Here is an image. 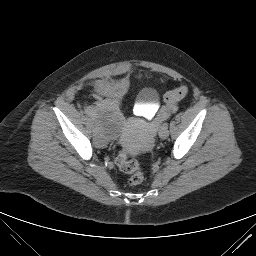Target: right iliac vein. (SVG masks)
<instances>
[{
    "label": "right iliac vein",
    "instance_id": "right-iliac-vein-1",
    "mask_svg": "<svg viewBox=\"0 0 256 256\" xmlns=\"http://www.w3.org/2000/svg\"><path fill=\"white\" fill-rule=\"evenodd\" d=\"M88 120H89L90 122H94V121L96 120V117H95L93 114H90V115L88 116Z\"/></svg>",
    "mask_w": 256,
    "mask_h": 256
}]
</instances>
